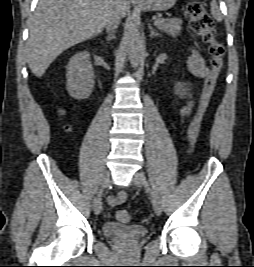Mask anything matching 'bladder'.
Masks as SVG:
<instances>
[{
    "instance_id": "31cf9c89",
    "label": "bladder",
    "mask_w": 254,
    "mask_h": 267,
    "mask_svg": "<svg viewBox=\"0 0 254 267\" xmlns=\"http://www.w3.org/2000/svg\"><path fill=\"white\" fill-rule=\"evenodd\" d=\"M102 230L108 238L127 241L139 240L147 234L146 228L142 226L122 225L114 222L105 223Z\"/></svg>"
}]
</instances>
